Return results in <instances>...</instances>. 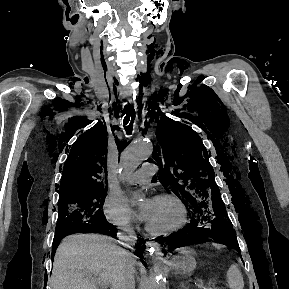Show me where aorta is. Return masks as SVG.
<instances>
[{"mask_svg":"<svg viewBox=\"0 0 289 289\" xmlns=\"http://www.w3.org/2000/svg\"><path fill=\"white\" fill-rule=\"evenodd\" d=\"M153 147L148 139H136L132 141L121 154L120 169L121 172L127 174L135 170L142 162L152 156ZM142 198L140 193H133L131 203L137 204ZM151 289H166V280L162 273H157Z\"/></svg>","mask_w":289,"mask_h":289,"instance_id":"762f6f07","label":"aorta"}]
</instances>
